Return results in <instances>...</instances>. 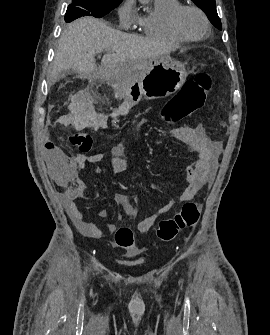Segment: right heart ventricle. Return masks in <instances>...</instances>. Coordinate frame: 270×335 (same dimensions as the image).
I'll use <instances>...</instances> for the list:
<instances>
[{"label":"right heart ventricle","mask_w":270,"mask_h":335,"mask_svg":"<svg viewBox=\"0 0 270 335\" xmlns=\"http://www.w3.org/2000/svg\"><path fill=\"white\" fill-rule=\"evenodd\" d=\"M180 0H155L153 9L136 14L134 23L147 36L169 42H183L184 38L176 34L170 25L172 12L181 7Z\"/></svg>","instance_id":"1"}]
</instances>
